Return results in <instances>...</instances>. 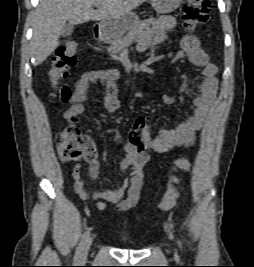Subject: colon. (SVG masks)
<instances>
[{"mask_svg":"<svg viewBox=\"0 0 254 267\" xmlns=\"http://www.w3.org/2000/svg\"><path fill=\"white\" fill-rule=\"evenodd\" d=\"M209 0H186L182 7V18L187 29H195L205 24L209 18ZM76 43L72 40L60 46L52 59L48 72L49 80L54 88L53 97L62 101L70 98L69 88L63 84L69 70L76 64ZM56 144L59 157L65 162H77L80 160L93 161L97 158V152L92 140L81 134L77 126V118L73 117L62 127L56 135ZM191 163L184 158L173 161L167 181V190L160 203V209L170 210L176 203L179 193L176 188L178 183L174 172L177 170L189 171Z\"/></svg>","mask_w":254,"mask_h":267,"instance_id":"colon-1","label":"colon"}]
</instances>
